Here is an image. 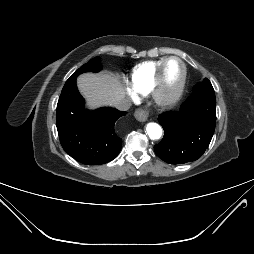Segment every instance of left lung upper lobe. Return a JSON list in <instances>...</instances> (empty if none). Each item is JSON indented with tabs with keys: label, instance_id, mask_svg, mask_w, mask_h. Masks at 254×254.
I'll list each match as a JSON object with an SVG mask.
<instances>
[{
	"label": "left lung upper lobe",
	"instance_id": "1",
	"mask_svg": "<svg viewBox=\"0 0 254 254\" xmlns=\"http://www.w3.org/2000/svg\"><path fill=\"white\" fill-rule=\"evenodd\" d=\"M194 94H204V95L215 96V92L212 87V84L207 78L195 86Z\"/></svg>",
	"mask_w": 254,
	"mask_h": 254
}]
</instances>
